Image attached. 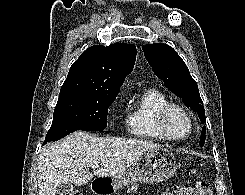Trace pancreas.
I'll return each instance as SVG.
<instances>
[{"instance_id": "pancreas-1", "label": "pancreas", "mask_w": 245, "mask_h": 195, "mask_svg": "<svg viewBox=\"0 0 245 195\" xmlns=\"http://www.w3.org/2000/svg\"><path fill=\"white\" fill-rule=\"evenodd\" d=\"M129 192H136L137 191V184L133 185L129 190Z\"/></svg>"}]
</instances>
